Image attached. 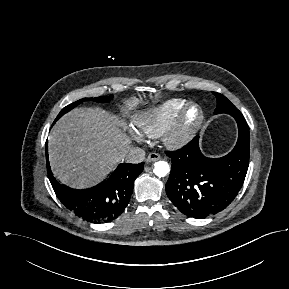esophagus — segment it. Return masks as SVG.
Instances as JSON below:
<instances>
[{
  "label": "esophagus",
  "mask_w": 289,
  "mask_h": 289,
  "mask_svg": "<svg viewBox=\"0 0 289 289\" xmlns=\"http://www.w3.org/2000/svg\"><path fill=\"white\" fill-rule=\"evenodd\" d=\"M161 157L159 154L157 153H150L146 159L147 162H155V161H158L160 160Z\"/></svg>",
  "instance_id": "obj_1"
}]
</instances>
